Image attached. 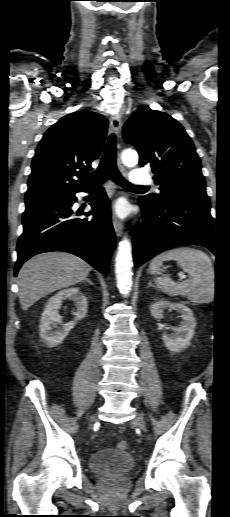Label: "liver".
Wrapping results in <instances>:
<instances>
[{
	"instance_id": "obj_1",
	"label": "liver",
	"mask_w": 230,
	"mask_h": 517,
	"mask_svg": "<svg viewBox=\"0 0 230 517\" xmlns=\"http://www.w3.org/2000/svg\"><path fill=\"white\" fill-rule=\"evenodd\" d=\"M91 270L86 261L66 252H48L32 257L18 273L22 310L26 311L45 295L85 280Z\"/></svg>"
}]
</instances>
